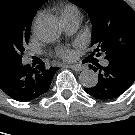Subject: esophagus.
<instances>
[{
	"label": "esophagus",
	"instance_id": "obj_1",
	"mask_svg": "<svg viewBox=\"0 0 135 135\" xmlns=\"http://www.w3.org/2000/svg\"><path fill=\"white\" fill-rule=\"evenodd\" d=\"M70 68L75 71H82L85 67L83 65H71Z\"/></svg>",
	"mask_w": 135,
	"mask_h": 135
}]
</instances>
